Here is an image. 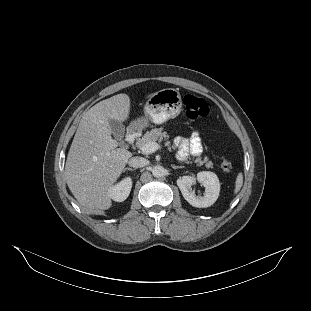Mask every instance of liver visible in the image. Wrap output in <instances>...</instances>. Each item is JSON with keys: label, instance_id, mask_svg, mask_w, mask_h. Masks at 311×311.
I'll use <instances>...</instances> for the list:
<instances>
[{"label": "liver", "instance_id": "liver-1", "mask_svg": "<svg viewBox=\"0 0 311 311\" xmlns=\"http://www.w3.org/2000/svg\"><path fill=\"white\" fill-rule=\"evenodd\" d=\"M150 94L149 96H151ZM130 97L120 93L102 100L82 117L65 165V181L81 206L90 212L111 207L108 189L123 172L132 153L118 148L110 119L129 118Z\"/></svg>", "mask_w": 311, "mask_h": 311}]
</instances>
